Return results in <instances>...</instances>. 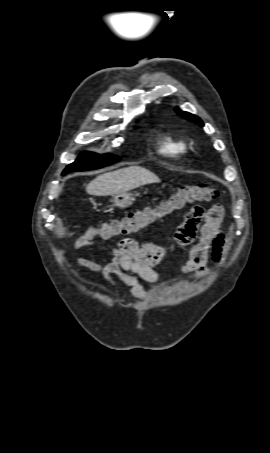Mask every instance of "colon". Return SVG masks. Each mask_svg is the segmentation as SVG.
Returning <instances> with one entry per match:
<instances>
[{"label": "colon", "instance_id": "colon-1", "mask_svg": "<svg viewBox=\"0 0 270 453\" xmlns=\"http://www.w3.org/2000/svg\"><path fill=\"white\" fill-rule=\"evenodd\" d=\"M218 197L219 191L210 185H182L173 195L160 201L155 206L129 213L97 228H91L87 234H99L104 239L135 234L156 220L164 218L186 205L210 202Z\"/></svg>", "mask_w": 270, "mask_h": 453}]
</instances>
